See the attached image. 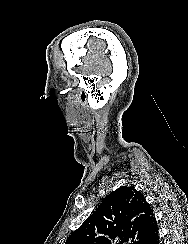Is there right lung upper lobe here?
<instances>
[{
	"mask_svg": "<svg viewBox=\"0 0 188 244\" xmlns=\"http://www.w3.org/2000/svg\"><path fill=\"white\" fill-rule=\"evenodd\" d=\"M155 226L143 195L123 186L111 192L65 244H143Z\"/></svg>",
	"mask_w": 188,
	"mask_h": 244,
	"instance_id": "right-lung-upper-lobe-1",
	"label": "right lung upper lobe"
}]
</instances>
